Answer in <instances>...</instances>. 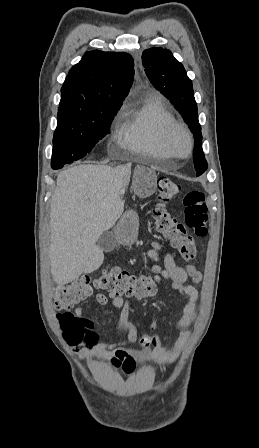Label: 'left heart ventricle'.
I'll return each mask as SVG.
<instances>
[{
  "label": "left heart ventricle",
  "instance_id": "left-heart-ventricle-1",
  "mask_svg": "<svg viewBox=\"0 0 259 448\" xmlns=\"http://www.w3.org/2000/svg\"><path fill=\"white\" fill-rule=\"evenodd\" d=\"M172 146L173 149L171 150H148L145 152V154L156 163L171 162L179 164L186 160L187 140L182 132L176 131L173 134Z\"/></svg>",
  "mask_w": 259,
  "mask_h": 448
}]
</instances>
